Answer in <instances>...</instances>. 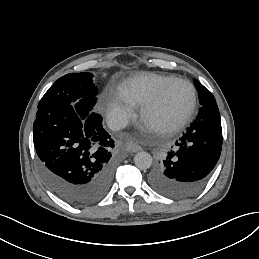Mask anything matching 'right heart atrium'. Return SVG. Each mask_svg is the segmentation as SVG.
I'll list each match as a JSON object with an SVG mask.
<instances>
[{"label":"right heart atrium","mask_w":259,"mask_h":259,"mask_svg":"<svg viewBox=\"0 0 259 259\" xmlns=\"http://www.w3.org/2000/svg\"><path fill=\"white\" fill-rule=\"evenodd\" d=\"M100 111L112 126L119 128L134 121L140 109L122 89L106 87L100 96Z\"/></svg>","instance_id":"d8ad5b80"}]
</instances>
